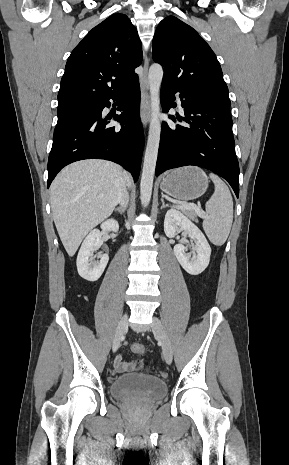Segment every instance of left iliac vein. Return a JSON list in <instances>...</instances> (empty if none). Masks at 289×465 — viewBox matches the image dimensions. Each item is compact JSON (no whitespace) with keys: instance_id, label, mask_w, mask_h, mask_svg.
I'll return each instance as SVG.
<instances>
[{"instance_id":"obj_1","label":"left iliac vein","mask_w":289,"mask_h":465,"mask_svg":"<svg viewBox=\"0 0 289 465\" xmlns=\"http://www.w3.org/2000/svg\"><path fill=\"white\" fill-rule=\"evenodd\" d=\"M152 331L154 335L160 340L162 344L163 356L166 362L170 364L173 358L172 346L161 321L157 317L153 318Z\"/></svg>"}]
</instances>
